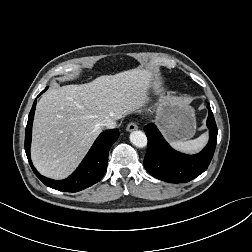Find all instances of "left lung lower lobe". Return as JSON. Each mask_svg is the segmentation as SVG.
<instances>
[{
    "label": "left lung lower lobe",
    "instance_id": "1",
    "mask_svg": "<svg viewBox=\"0 0 252 252\" xmlns=\"http://www.w3.org/2000/svg\"><path fill=\"white\" fill-rule=\"evenodd\" d=\"M208 110L209 142L196 155H186L172 149L154 124L144 127L148 138L144 167L153 177L170 183L189 182L208 168L215 151L218 132L210 105Z\"/></svg>",
    "mask_w": 252,
    "mask_h": 252
}]
</instances>
